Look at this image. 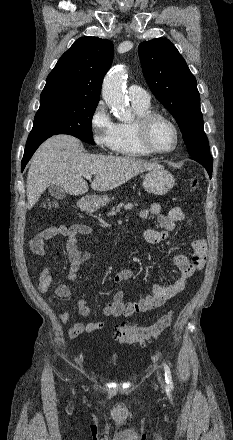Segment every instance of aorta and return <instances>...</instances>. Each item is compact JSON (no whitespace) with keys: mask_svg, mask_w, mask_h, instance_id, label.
I'll return each mask as SVG.
<instances>
[{"mask_svg":"<svg viewBox=\"0 0 233 440\" xmlns=\"http://www.w3.org/2000/svg\"><path fill=\"white\" fill-rule=\"evenodd\" d=\"M125 73L123 68L110 70L104 78L102 97L114 115L121 121L131 118L127 96L124 90Z\"/></svg>","mask_w":233,"mask_h":440,"instance_id":"762f6f07","label":"aorta"}]
</instances>
